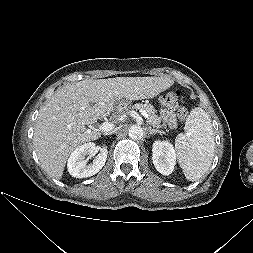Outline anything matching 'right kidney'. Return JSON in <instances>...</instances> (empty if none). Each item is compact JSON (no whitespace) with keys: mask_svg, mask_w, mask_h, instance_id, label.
I'll return each instance as SVG.
<instances>
[{"mask_svg":"<svg viewBox=\"0 0 253 253\" xmlns=\"http://www.w3.org/2000/svg\"><path fill=\"white\" fill-rule=\"evenodd\" d=\"M96 151L95 143H85L76 148L70 155L67 168L70 175L76 178L90 177L98 173L105 165L107 159L106 147L101 148V152L96 156L91 164H87L86 155L93 156Z\"/></svg>","mask_w":253,"mask_h":253,"instance_id":"ca27d5eb","label":"right kidney"}]
</instances>
